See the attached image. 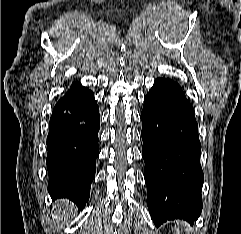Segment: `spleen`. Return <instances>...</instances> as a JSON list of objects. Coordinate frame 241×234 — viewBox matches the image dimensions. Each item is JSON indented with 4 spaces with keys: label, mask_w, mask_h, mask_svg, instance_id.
I'll use <instances>...</instances> for the list:
<instances>
[{
    "label": "spleen",
    "mask_w": 241,
    "mask_h": 234,
    "mask_svg": "<svg viewBox=\"0 0 241 234\" xmlns=\"http://www.w3.org/2000/svg\"><path fill=\"white\" fill-rule=\"evenodd\" d=\"M175 231H176V234H179V227H174Z\"/></svg>",
    "instance_id": "1"
}]
</instances>
